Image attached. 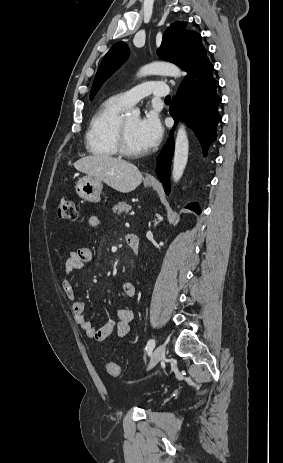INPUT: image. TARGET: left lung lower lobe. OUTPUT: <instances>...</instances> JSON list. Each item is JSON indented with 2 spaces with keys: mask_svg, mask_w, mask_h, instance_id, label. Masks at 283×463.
Here are the masks:
<instances>
[{
  "mask_svg": "<svg viewBox=\"0 0 283 463\" xmlns=\"http://www.w3.org/2000/svg\"><path fill=\"white\" fill-rule=\"evenodd\" d=\"M212 71L213 65L209 60L194 66L181 84L177 96H173L169 108L175 124L180 119L195 131L204 155L210 144L216 140V127L221 121L218 113L221 98L216 92L218 81L213 78ZM173 149V139L170 137L158 157L157 176L166 194L170 191L169 164ZM186 208L200 214L197 203L188 204Z\"/></svg>",
  "mask_w": 283,
  "mask_h": 463,
  "instance_id": "left-lung-lower-lobe-1",
  "label": "left lung lower lobe"
}]
</instances>
